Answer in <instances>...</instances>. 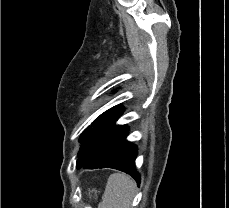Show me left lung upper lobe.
Listing matches in <instances>:
<instances>
[{
	"label": "left lung upper lobe",
	"instance_id": "5c2ea615",
	"mask_svg": "<svg viewBox=\"0 0 229 208\" xmlns=\"http://www.w3.org/2000/svg\"><path fill=\"white\" fill-rule=\"evenodd\" d=\"M122 112L123 107L121 105L114 106L109 110L105 111L91 123V126H88L83 131L80 141H84L90 138L92 135L104 130L113 129L126 131V126L115 125L116 120L119 118Z\"/></svg>",
	"mask_w": 229,
	"mask_h": 208
}]
</instances>
